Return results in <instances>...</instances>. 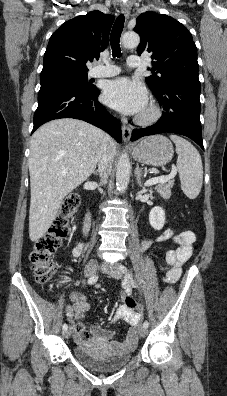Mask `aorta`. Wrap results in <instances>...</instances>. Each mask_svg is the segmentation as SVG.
I'll use <instances>...</instances> for the list:
<instances>
[{
	"instance_id": "1",
	"label": "aorta",
	"mask_w": 227,
	"mask_h": 396,
	"mask_svg": "<svg viewBox=\"0 0 227 396\" xmlns=\"http://www.w3.org/2000/svg\"><path fill=\"white\" fill-rule=\"evenodd\" d=\"M140 43L137 33L127 32L122 37V44L125 48H135ZM130 160L126 153L119 157L116 167V186L120 193L125 192L130 180Z\"/></svg>"
}]
</instances>
